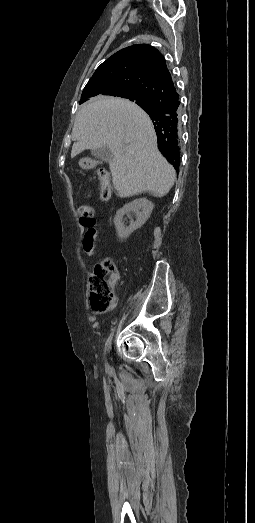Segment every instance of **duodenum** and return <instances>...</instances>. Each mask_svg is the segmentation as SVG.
<instances>
[{
  "label": "duodenum",
  "instance_id": "410a0bca",
  "mask_svg": "<svg viewBox=\"0 0 255 523\" xmlns=\"http://www.w3.org/2000/svg\"><path fill=\"white\" fill-rule=\"evenodd\" d=\"M85 166L87 168H93L95 166V161L91 160V159H88L85 161Z\"/></svg>",
  "mask_w": 255,
  "mask_h": 523
}]
</instances>
